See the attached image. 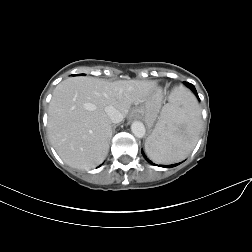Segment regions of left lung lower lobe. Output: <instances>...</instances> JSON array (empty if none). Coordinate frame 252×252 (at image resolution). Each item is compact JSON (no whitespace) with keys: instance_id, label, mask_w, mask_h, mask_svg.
I'll use <instances>...</instances> for the list:
<instances>
[{"instance_id":"left-lung-lower-lobe-1","label":"left lung lower lobe","mask_w":252,"mask_h":252,"mask_svg":"<svg viewBox=\"0 0 252 252\" xmlns=\"http://www.w3.org/2000/svg\"><path fill=\"white\" fill-rule=\"evenodd\" d=\"M184 84H185L187 87H189V88L195 93V95L198 97L197 91H196V89H195V87H194L193 84L188 83V82H184ZM142 154H143V156L146 158V160H147L149 163H151V164H153V165H156V164H154L152 161H150L149 159H147V157L144 155L143 152H142ZM179 164H180V163L174 164V165H160V167H168V168H171V167H175V166H177V165H179Z\"/></svg>"}]
</instances>
